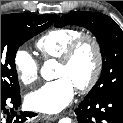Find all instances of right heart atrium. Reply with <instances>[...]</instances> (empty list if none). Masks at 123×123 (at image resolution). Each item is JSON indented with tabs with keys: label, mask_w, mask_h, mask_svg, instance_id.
<instances>
[{
	"label": "right heart atrium",
	"mask_w": 123,
	"mask_h": 123,
	"mask_svg": "<svg viewBox=\"0 0 123 123\" xmlns=\"http://www.w3.org/2000/svg\"><path fill=\"white\" fill-rule=\"evenodd\" d=\"M15 72L24 85H32L38 78L39 62L24 47L17 49L13 56Z\"/></svg>",
	"instance_id": "obj_1"
}]
</instances>
